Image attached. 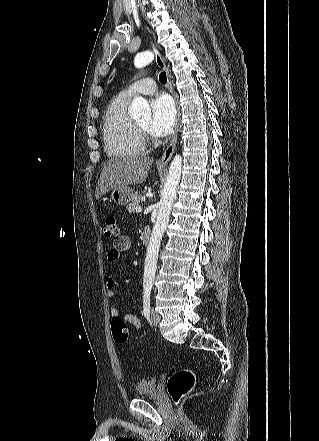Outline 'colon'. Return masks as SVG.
<instances>
[{
  "label": "colon",
  "instance_id": "5ec220e1",
  "mask_svg": "<svg viewBox=\"0 0 319 441\" xmlns=\"http://www.w3.org/2000/svg\"><path fill=\"white\" fill-rule=\"evenodd\" d=\"M120 227L117 219L110 215L105 219L103 235L106 238L119 236ZM111 332L117 344H125L128 340L127 323L124 318L115 317L111 322ZM196 374L191 368L177 370L167 381V390L172 400L179 404L194 388Z\"/></svg>",
  "mask_w": 319,
  "mask_h": 441
}]
</instances>
